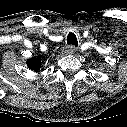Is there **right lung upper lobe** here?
<instances>
[{
    "instance_id": "cb5924a9",
    "label": "right lung upper lobe",
    "mask_w": 127,
    "mask_h": 127,
    "mask_svg": "<svg viewBox=\"0 0 127 127\" xmlns=\"http://www.w3.org/2000/svg\"><path fill=\"white\" fill-rule=\"evenodd\" d=\"M40 64H41L40 56L34 57V58H31V59L27 60L28 68L31 69V70H34V71H38L39 70Z\"/></svg>"
}]
</instances>
